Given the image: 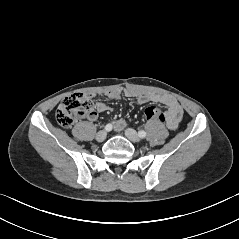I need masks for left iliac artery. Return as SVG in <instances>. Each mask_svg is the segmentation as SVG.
I'll use <instances>...</instances> for the list:
<instances>
[{"label": "left iliac artery", "mask_w": 239, "mask_h": 239, "mask_svg": "<svg viewBox=\"0 0 239 239\" xmlns=\"http://www.w3.org/2000/svg\"><path fill=\"white\" fill-rule=\"evenodd\" d=\"M138 135H139L140 138H144V137H146V132L141 130V131L138 132Z\"/></svg>", "instance_id": "obj_1"}]
</instances>
